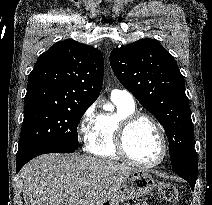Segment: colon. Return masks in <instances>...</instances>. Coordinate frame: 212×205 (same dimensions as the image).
<instances>
[{
    "instance_id": "1",
    "label": "colon",
    "mask_w": 212,
    "mask_h": 205,
    "mask_svg": "<svg viewBox=\"0 0 212 205\" xmlns=\"http://www.w3.org/2000/svg\"><path fill=\"white\" fill-rule=\"evenodd\" d=\"M158 198L171 205H176L178 202L176 186L172 183H160L158 186Z\"/></svg>"
}]
</instances>
